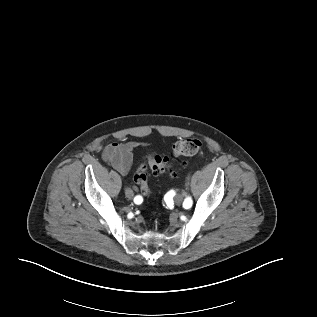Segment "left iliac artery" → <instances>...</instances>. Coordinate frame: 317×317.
Masks as SVG:
<instances>
[{"mask_svg": "<svg viewBox=\"0 0 317 317\" xmlns=\"http://www.w3.org/2000/svg\"><path fill=\"white\" fill-rule=\"evenodd\" d=\"M183 206L185 208H190L192 206V199L191 197L187 196L186 199L184 200Z\"/></svg>", "mask_w": 317, "mask_h": 317, "instance_id": "obj_1", "label": "left iliac artery"}]
</instances>
